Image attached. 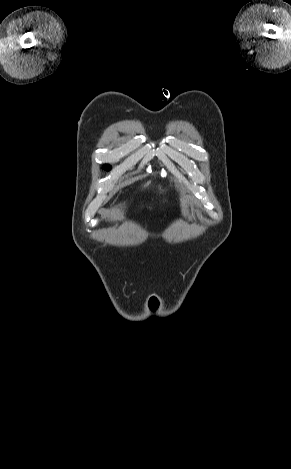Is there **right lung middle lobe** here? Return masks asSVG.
<instances>
[{"mask_svg":"<svg viewBox=\"0 0 291 469\" xmlns=\"http://www.w3.org/2000/svg\"><path fill=\"white\" fill-rule=\"evenodd\" d=\"M103 169L109 171L111 169L110 165H103Z\"/></svg>","mask_w":291,"mask_h":469,"instance_id":"obj_1","label":"right lung middle lobe"}]
</instances>
